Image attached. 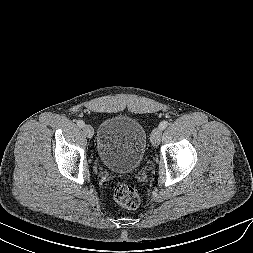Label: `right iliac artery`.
Listing matches in <instances>:
<instances>
[{"mask_svg": "<svg viewBox=\"0 0 253 253\" xmlns=\"http://www.w3.org/2000/svg\"><path fill=\"white\" fill-rule=\"evenodd\" d=\"M77 125L82 128L85 125V123L82 120H78Z\"/></svg>", "mask_w": 253, "mask_h": 253, "instance_id": "82829eb1", "label": "right iliac artery"}]
</instances>
